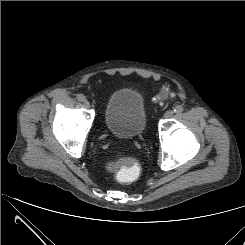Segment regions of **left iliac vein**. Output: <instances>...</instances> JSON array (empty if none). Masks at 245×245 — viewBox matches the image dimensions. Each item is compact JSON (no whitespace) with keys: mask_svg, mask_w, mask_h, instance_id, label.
I'll list each match as a JSON object with an SVG mask.
<instances>
[{"mask_svg":"<svg viewBox=\"0 0 245 245\" xmlns=\"http://www.w3.org/2000/svg\"><path fill=\"white\" fill-rule=\"evenodd\" d=\"M174 112L172 110H168L164 113V118L168 119L173 116Z\"/></svg>","mask_w":245,"mask_h":245,"instance_id":"left-iliac-vein-1","label":"left iliac vein"}]
</instances>
